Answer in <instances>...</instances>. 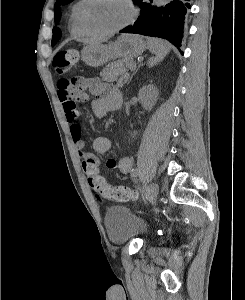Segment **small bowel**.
<instances>
[{"mask_svg":"<svg viewBox=\"0 0 245 300\" xmlns=\"http://www.w3.org/2000/svg\"><path fill=\"white\" fill-rule=\"evenodd\" d=\"M80 88L75 89L68 85L67 79L58 82V98L61 102L66 120L70 125V134L74 146L82 162V168L87 176L98 175L100 159L97 154H106L112 150V142L109 138L98 136L93 140V152L85 150V142L80 124L77 122L79 113L76 101L90 102L93 115L97 118L104 117L108 112L118 108L119 91L99 78L80 79ZM108 169H116L121 174H128L132 170V161L123 157L118 161L109 159L106 161Z\"/></svg>","mask_w":245,"mask_h":300,"instance_id":"c3829d8e","label":"small bowel"}]
</instances>
